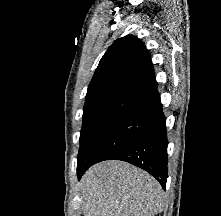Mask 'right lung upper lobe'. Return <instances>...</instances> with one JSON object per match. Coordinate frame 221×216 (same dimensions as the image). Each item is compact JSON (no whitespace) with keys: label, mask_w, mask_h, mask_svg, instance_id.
<instances>
[{"label":"right lung upper lobe","mask_w":221,"mask_h":216,"mask_svg":"<svg viewBox=\"0 0 221 216\" xmlns=\"http://www.w3.org/2000/svg\"><path fill=\"white\" fill-rule=\"evenodd\" d=\"M160 104L148 50L134 36L114 42L88 86L83 123L118 113L151 114Z\"/></svg>","instance_id":"obj_1"}]
</instances>
